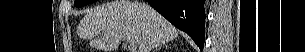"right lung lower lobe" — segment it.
Instances as JSON below:
<instances>
[{
  "label": "right lung lower lobe",
  "instance_id": "98d812e1",
  "mask_svg": "<svg viewBox=\"0 0 305 52\" xmlns=\"http://www.w3.org/2000/svg\"><path fill=\"white\" fill-rule=\"evenodd\" d=\"M178 29L187 33L203 50L205 0H146Z\"/></svg>",
  "mask_w": 305,
  "mask_h": 52
}]
</instances>
